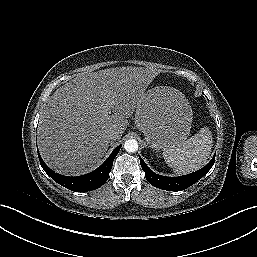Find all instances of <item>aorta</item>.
Instances as JSON below:
<instances>
[{
  "label": "aorta",
  "instance_id": "762f6f07",
  "mask_svg": "<svg viewBox=\"0 0 257 257\" xmlns=\"http://www.w3.org/2000/svg\"><path fill=\"white\" fill-rule=\"evenodd\" d=\"M124 148L127 152H136L138 150V143L135 139L125 141Z\"/></svg>",
  "mask_w": 257,
  "mask_h": 257
}]
</instances>
